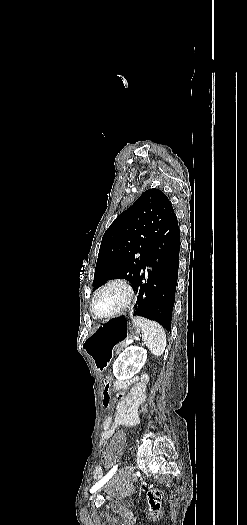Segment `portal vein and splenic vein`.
I'll return each mask as SVG.
<instances>
[{
    "mask_svg": "<svg viewBox=\"0 0 247 525\" xmlns=\"http://www.w3.org/2000/svg\"><path fill=\"white\" fill-rule=\"evenodd\" d=\"M130 343H132V340H126V343H124V346H130Z\"/></svg>",
    "mask_w": 247,
    "mask_h": 525,
    "instance_id": "portal-vein-and-splenic-vein-1",
    "label": "portal vein and splenic vein"
}]
</instances>
